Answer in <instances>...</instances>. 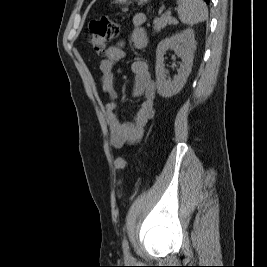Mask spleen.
Here are the masks:
<instances>
[{
  "label": "spleen",
  "instance_id": "1",
  "mask_svg": "<svg viewBox=\"0 0 267 267\" xmlns=\"http://www.w3.org/2000/svg\"><path fill=\"white\" fill-rule=\"evenodd\" d=\"M178 17L182 23L193 25L208 18V9L203 0H178Z\"/></svg>",
  "mask_w": 267,
  "mask_h": 267
}]
</instances>
